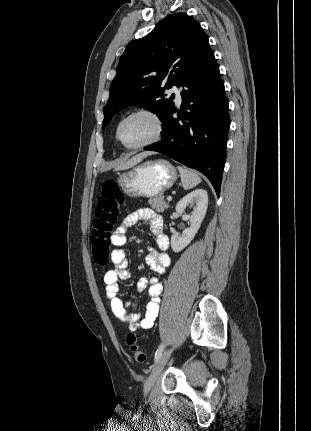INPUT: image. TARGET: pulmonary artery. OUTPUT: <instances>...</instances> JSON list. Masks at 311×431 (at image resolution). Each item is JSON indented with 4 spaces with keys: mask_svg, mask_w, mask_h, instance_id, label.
I'll use <instances>...</instances> for the list:
<instances>
[{
    "mask_svg": "<svg viewBox=\"0 0 311 431\" xmlns=\"http://www.w3.org/2000/svg\"><path fill=\"white\" fill-rule=\"evenodd\" d=\"M168 92L170 94H174L175 95L177 103H181V101H182V95H181V88L180 87H178L176 85H172L170 87V89L168 90Z\"/></svg>",
    "mask_w": 311,
    "mask_h": 431,
    "instance_id": "e3ab8cb5",
    "label": "pulmonary artery"
}]
</instances>
